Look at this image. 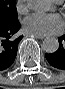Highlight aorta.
I'll use <instances>...</instances> for the list:
<instances>
[{
    "label": "aorta",
    "mask_w": 65,
    "mask_h": 89,
    "mask_svg": "<svg viewBox=\"0 0 65 89\" xmlns=\"http://www.w3.org/2000/svg\"><path fill=\"white\" fill-rule=\"evenodd\" d=\"M31 8L37 12H47L52 5L49 0H32ZM59 48V42L55 37H47L43 40L42 49L47 53H54Z\"/></svg>",
    "instance_id": "obj_1"
}]
</instances>
